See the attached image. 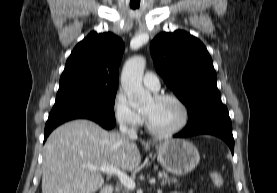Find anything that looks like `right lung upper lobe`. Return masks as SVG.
I'll return each instance as SVG.
<instances>
[{
    "label": "right lung upper lobe",
    "mask_w": 277,
    "mask_h": 193,
    "mask_svg": "<svg viewBox=\"0 0 277 193\" xmlns=\"http://www.w3.org/2000/svg\"><path fill=\"white\" fill-rule=\"evenodd\" d=\"M123 51L124 43L116 35L91 32L67 59L58 91L82 86L117 88Z\"/></svg>",
    "instance_id": "cb5924a9"
}]
</instances>
